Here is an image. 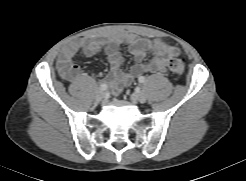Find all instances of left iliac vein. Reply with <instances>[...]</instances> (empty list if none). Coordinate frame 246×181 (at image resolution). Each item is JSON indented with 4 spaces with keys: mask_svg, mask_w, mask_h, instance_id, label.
Returning <instances> with one entry per match:
<instances>
[{
    "mask_svg": "<svg viewBox=\"0 0 246 181\" xmlns=\"http://www.w3.org/2000/svg\"><path fill=\"white\" fill-rule=\"evenodd\" d=\"M131 98L134 102H140V103L146 102V95L142 91L132 94Z\"/></svg>",
    "mask_w": 246,
    "mask_h": 181,
    "instance_id": "1",
    "label": "left iliac vein"
}]
</instances>
